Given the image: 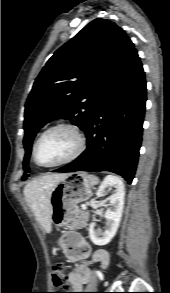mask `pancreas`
I'll return each instance as SVG.
<instances>
[{"label":"pancreas","instance_id":"1","mask_svg":"<svg viewBox=\"0 0 170 293\" xmlns=\"http://www.w3.org/2000/svg\"><path fill=\"white\" fill-rule=\"evenodd\" d=\"M88 222V213L87 212H80L79 216L73 220L70 225V228L73 229H81L87 226Z\"/></svg>","mask_w":170,"mask_h":293}]
</instances>
